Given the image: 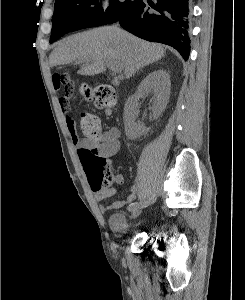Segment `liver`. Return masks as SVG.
Returning a JSON list of instances; mask_svg holds the SVG:
<instances>
[{"label": "liver", "instance_id": "6515ba94", "mask_svg": "<svg viewBox=\"0 0 245 300\" xmlns=\"http://www.w3.org/2000/svg\"><path fill=\"white\" fill-rule=\"evenodd\" d=\"M164 48L150 43L118 28L105 26L67 37L51 52V67L83 63L78 71L81 75H96L106 71L107 62H115L132 77L140 68L160 60Z\"/></svg>", "mask_w": 245, "mask_h": 300}]
</instances>
